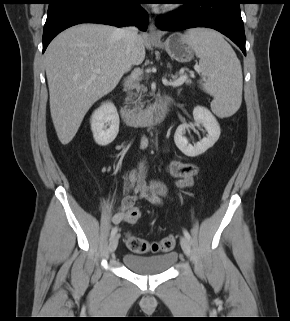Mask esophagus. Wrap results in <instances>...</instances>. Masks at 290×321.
<instances>
[{
    "label": "esophagus",
    "mask_w": 290,
    "mask_h": 321,
    "mask_svg": "<svg viewBox=\"0 0 290 321\" xmlns=\"http://www.w3.org/2000/svg\"><path fill=\"white\" fill-rule=\"evenodd\" d=\"M160 37V32L156 29L154 22L151 21L150 27H149V32L146 35V38L149 40H155Z\"/></svg>",
    "instance_id": "1"
}]
</instances>
